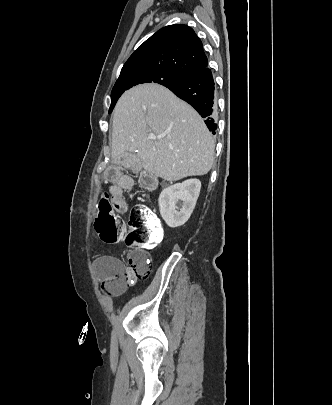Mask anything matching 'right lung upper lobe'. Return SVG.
Wrapping results in <instances>:
<instances>
[{
	"instance_id": "1",
	"label": "right lung upper lobe",
	"mask_w": 332,
	"mask_h": 405,
	"mask_svg": "<svg viewBox=\"0 0 332 405\" xmlns=\"http://www.w3.org/2000/svg\"><path fill=\"white\" fill-rule=\"evenodd\" d=\"M208 66L203 44L183 24L166 26L147 39L124 64L120 75L154 70L186 77Z\"/></svg>"
}]
</instances>
